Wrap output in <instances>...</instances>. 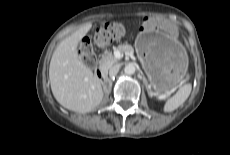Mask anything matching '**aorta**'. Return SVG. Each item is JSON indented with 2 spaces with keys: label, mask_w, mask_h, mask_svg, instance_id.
<instances>
[{
  "label": "aorta",
  "mask_w": 230,
  "mask_h": 155,
  "mask_svg": "<svg viewBox=\"0 0 230 155\" xmlns=\"http://www.w3.org/2000/svg\"><path fill=\"white\" fill-rule=\"evenodd\" d=\"M135 71H136V67H135V64H133V63L127 64V65L125 66V68H124V72H125V74H127V75H132V74L135 73Z\"/></svg>",
  "instance_id": "1"
}]
</instances>
